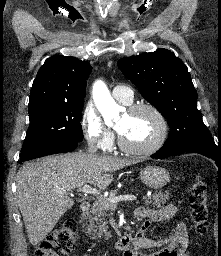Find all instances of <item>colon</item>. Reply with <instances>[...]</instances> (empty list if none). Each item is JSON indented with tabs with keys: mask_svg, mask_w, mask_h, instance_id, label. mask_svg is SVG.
<instances>
[{
	"mask_svg": "<svg viewBox=\"0 0 221 256\" xmlns=\"http://www.w3.org/2000/svg\"><path fill=\"white\" fill-rule=\"evenodd\" d=\"M189 204L196 232L204 235L208 229L207 187L201 177H196L190 187ZM77 224L67 219L42 240L35 256H68L76 246Z\"/></svg>",
	"mask_w": 221,
	"mask_h": 256,
	"instance_id": "1",
	"label": "colon"
}]
</instances>
